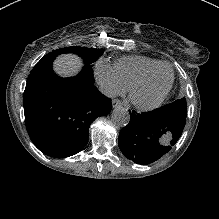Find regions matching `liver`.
Returning <instances> with one entry per match:
<instances>
[{"label": "liver", "mask_w": 219, "mask_h": 219, "mask_svg": "<svg viewBox=\"0 0 219 219\" xmlns=\"http://www.w3.org/2000/svg\"><path fill=\"white\" fill-rule=\"evenodd\" d=\"M83 63L81 59L73 55H62L56 58L53 69L61 77H72L77 75Z\"/></svg>", "instance_id": "1"}]
</instances>
